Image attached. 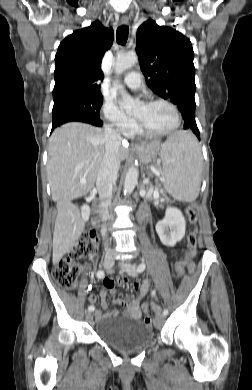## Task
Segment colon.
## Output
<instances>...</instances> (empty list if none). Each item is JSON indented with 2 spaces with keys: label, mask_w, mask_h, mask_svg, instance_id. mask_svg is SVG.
I'll use <instances>...</instances> for the list:
<instances>
[{
  "label": "colon",
  "mask_w": 252,
  "mask_h": 390,
  "mask_svg": "<svg viewBox=\"0 0 252 390\" xmlns=\"http://www.w3.org/2000/svg\"><path fill=\"white\" fill-rule=\"evenodd\" d=\"M187 216L194 227L187 236V253L184 261L187 263L188 269L192 271L194 268L193 258L196 254V223L198 219L195 206L191 205L187 208ZM96 241L97 236L95 234L83 235L67 256L54 263L53 276L60 286L65 289H73L77 286L81 271L78 260L96 253ZM180 270L181 265H178L177 271ZM122 285H126V283ZM144 321L148 325L151 324L152 316L149 312H146Z\"/></svg>",
  "instance_id": "colon-1"
}]
</instances>
